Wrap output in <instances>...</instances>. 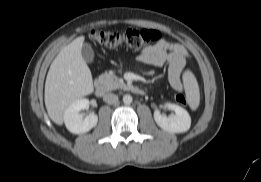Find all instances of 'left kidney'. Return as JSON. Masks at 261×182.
<instances>
[{"mask_svg":"<svg viewBox=\"0 0 261 182\" xmlns=\"http://www.w3.org/2000/svg\"><path fill=\"white\" fill-rule=\"evenodd\" d=\"M166 106L175 112V114L167 117L156 110L154 119L157 125L164 131L171 133H183L190 129L191 118L189 113L179 105L167 103Z\"/></svg>","mask_w":261,"mask_h":182,"instance_id":"obj_1","label":"left kidney"}]
</instances>
